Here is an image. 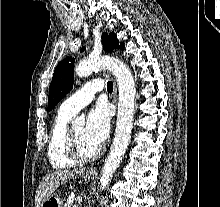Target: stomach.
Instances as JSON below:
<instances>
[{
  "mask_svg": "<svg viewBox=\"0 0 220 207\" xmlns=\"http://www.w3.org/2000/svg\"><path fill=\"white\" fill-rule=\"evenodd\" d=\"M91 179H92L91 176H88V175L84 176V181L86 182H89ZM41 207H63V203H62V200L58 196L52 195L43 202Z\"/></svg>",
  "mask_w": 220,
  "mask_h": 207,
  "instance_id": "1",
  "label": "stomach"
}]
</instances>
